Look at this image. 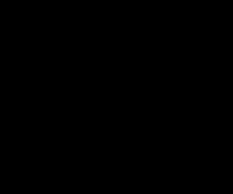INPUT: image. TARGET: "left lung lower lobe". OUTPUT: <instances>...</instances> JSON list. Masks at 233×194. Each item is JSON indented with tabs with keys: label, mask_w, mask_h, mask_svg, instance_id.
I'll return each instance as SVG.
<instances>
[{
	"label": "left lung lower lobe",
	"mask_w": 233,
	"mask_h": 194,
	"mask_svg": "<svg viewBox=\"0 0 233 194\" xmlns=\"http://www.w3.org/2000/svg\"><path fill=\"white\" fill-rule=\"evenodd\" d=\"M181 157L180 152H153L148 161V166L152 169H163L166 166L178 161Z\"/></svg>",
	"instance_id": "1"
}]
</instances>
